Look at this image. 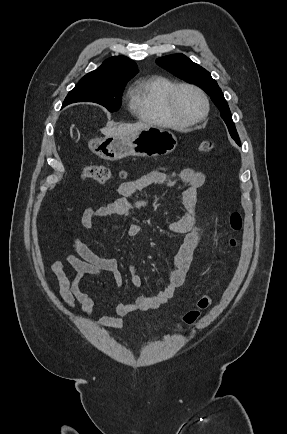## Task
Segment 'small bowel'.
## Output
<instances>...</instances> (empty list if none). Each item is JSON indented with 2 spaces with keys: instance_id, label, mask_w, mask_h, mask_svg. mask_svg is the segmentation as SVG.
Masks as SVG:
<instances>
[{
  "instance_id": "1",
  "label": "small bowel",
  "mask_w": 287,
  "mask_h": 434,
  "mask_svg": "<svg viewBox=\"0 0 287 434\" xmlns=\"http://www.w3.org/2000/svg\"><path fill=\"white\" fill-rule=\"evenodd\" d=\"M204 182L205 175L203 172L194 168L171 171L165 167H157L144 171L135 178L120 184L117 188L119 197L113 202L98 208H87L70 231V244L78 256L63 252L66 262L76 271L74 277L72 279L68 278L63 262L56 261L52 264L53 280L59 286L60 296L66 306L74 309L76 303H79L83 313L86 316L91 315L96 303V296L81 290V282L86 277L109 274L117 287L124 285V279L118 269L116 260L100 257L87 245L80 242L76 237L77 227L91 228L98 219L112 216L129 217L133 210L148 207L151 200L140 195V192L151 185H164L180 189L182 196L180 214L177 220L168 224L167 229L173 235H184L183 242L174 256L172 268L163 289L151 295L138 296L130 302L115 304V315L101 317L98 320V325L101 327L122 328L124 326L123 316L141 311L156 310L168 302L174 296L176 289L183 283L202 239V230L196 223V216L197 191L203 186ZM140 231L141 225L133 222L125 228L124 232L127 238H132L138 235ZM128 269L132 285L140 287L143 279L132 262L129 263Z\"/></svg>"
}]
</instances>
